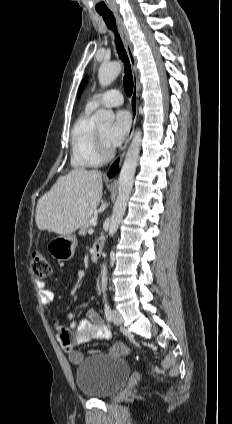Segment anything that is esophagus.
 <instances>
[{"mask_svg":"<svg viewBox=\"0 0 232 424\" xmlns=\"http://www.w3.org/2000/svg\"><path fill=\"white\" fill-rule=\"evenodd\" d=\"M115 17H116L118 29H119L124 47L126 49V52H127L128 58H129V62H130L131 70H132V76H133V84L134 85H133V92H132L131 99H130V109H131V115H132V127H131L130 133H129L127 139H126V142L124 144L122 151L116 157V159L111 163L108 170L106 171V173H105L106 179H114L117 176V174L120 170L121 163H122V160L124 158L126 149H127L128 145L130 143V140L132 138L136 119H137V104H138V90H139L138 77H137V67H136V58H135V55L133 53V46H132V43L130 41L128 31H127L121 17L119 16L118 13H115Z\"/></svg>","mask_w":232,"mask_h":424,"instance_id":"obj_1","label":"esophagus"}]
</instances>
